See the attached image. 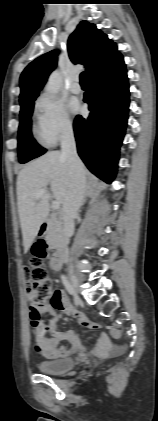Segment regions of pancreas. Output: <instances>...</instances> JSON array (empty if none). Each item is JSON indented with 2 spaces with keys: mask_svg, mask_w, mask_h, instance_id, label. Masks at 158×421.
<instances>
[{
  "mask_svg": "<svg viewBox=\"0 0 158 421\" xmlns=\"http://www.w3.org/2000/svg\"><path fill=\"white\" fill-rule=\"evenodd\" d=\"M50 249L60 246L63 239L62 223L60 219L51 216L45 236Z\"/></svg>",
  "mask_w": 158,
  "mask_h": 421,
  "instance_id": "pancreas-1",
  "label": "pancreas"
}]
</instances>
